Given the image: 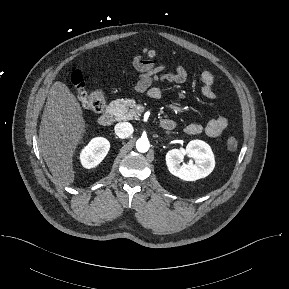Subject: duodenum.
Masks as SVG:
<instances>
[{"mask_svg":"<svg viewBox=\"0 0 289 289\" xmlns=\"http://www.w3.org/2000/svg\"><path fill=\"white\" fill-rule=\"evenodd\" d=\"M113 122V113L109 110L102 112L98 117V123L101 126H109ZM160 126L165 130H172L175 126V123L171 119H162L160 121Z\"/></svg>","mask_w":289,"mask_h":289,"instance_id":"410a0bca","label":"duodenum"}]
</instances>
